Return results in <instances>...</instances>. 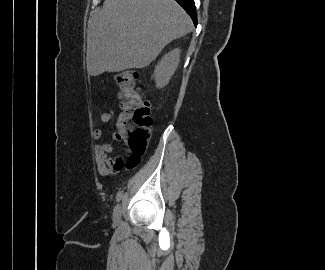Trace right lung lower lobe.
Returning a JSON list of instances; mask_svg holds the SVG:
<instances>
[{
    "instance_id": "98d812e1",
    "label": "right lung lower lobe",
    "mask_w": 325,
    "mask_h": 270,
    "mask_svg": "<svg viewBox=\"0 0 325 270\" xmlns=\"http://www.w3.org/2000/svg\"><path fill=\"white\" fill-rule=\"evenodd\" d=\"M185 11L191 16L195 26L197 25V14L194 0H176Z\"/></svg>"
}]
</instances>
